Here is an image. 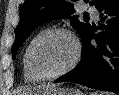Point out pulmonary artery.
<instances>
[{"label":"pulmonary artery","mask_w":119,"mask_h":95,"mask_svg":"<svg viewBox=\"0 0 119 95\" xmlns=\"http://www.w3.org/2000/svg\"><path fill=\"white\" fill-rule=\"evenodd\" d=\"M89 12H90V14L92 15V17L94 18V19H98V12L95 10V9H93V8H90L89 9Z\"/></svg>","instance_id":"pulmonary-artery-1"}]
</instances>
